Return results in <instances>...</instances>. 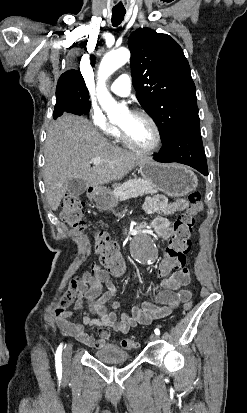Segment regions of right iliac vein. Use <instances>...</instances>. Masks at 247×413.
<instances>
[{
    "label": "right iliac vein",
    "instance_id": "right-iliac-vein-1",
    "mask_svg": "<svg viewBox=\"0 0 247 413\" xmlns=\"http://www.w3.org/2000/svg\"><path fill=\"white\" fill-rule=\"evenodd\" d=\"M71 356H72V344H69L63 353V366L65 370L69 369L70 367Z\"/></svg>",
    "mask_w": 247,
    "mask_h": 413
}]
</instances>
